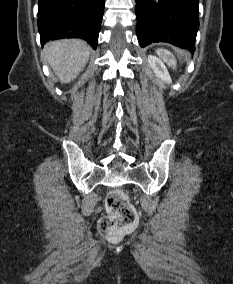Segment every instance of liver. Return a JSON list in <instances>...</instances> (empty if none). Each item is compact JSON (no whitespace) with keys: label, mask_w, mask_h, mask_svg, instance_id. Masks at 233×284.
<instances>
[{"label":"liver","mask_w":233,"mask_h":284,"mask_svg":"<svg viewBox=\"0 0 233 284\" xmlns=\"http://www.w3.org/2000/svg\"><path fill=\"white\" fill-rule=\"evenodd\" d=\"M90 52V46L79 39L52 41L44 47L46 60L61 83H69L79 75Z\"/></svg>","instance_id":"1"}]
</instances>
